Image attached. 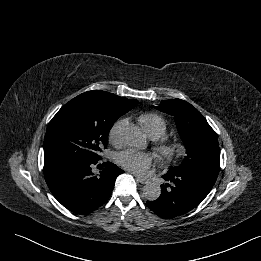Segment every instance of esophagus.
<instances>
[{
    "label": "esophagus",
    "mask_w": 261,
    "mask_h": 261,
    "mask_svg": "<svg viewBox=\"0 0 261 261\" xmlns=\"http://www.w3.org/2000/svg\"><path fill=\"white\" fill-rule=\"evenodd\" d=\"M136 180H137V182H139L141 184H147V183L150 182L148 179L143 178V177H139V176H136Z\"/></svg>",
    "instance_id": "1"
}]
</instances>
